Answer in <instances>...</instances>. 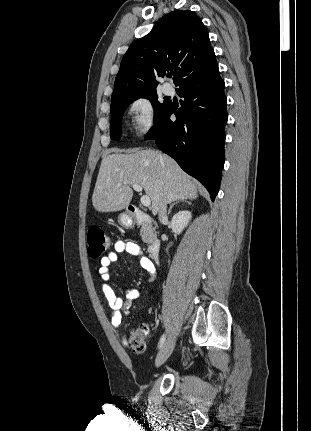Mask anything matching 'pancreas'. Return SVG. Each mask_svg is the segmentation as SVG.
Here are the masks:
<instances>
[{
  "label": "pancreas",
  "mask_w": 311,
  "mask_h": 431,
  "mask_svg": "<svg viewBox=\"0 0 311 431\" xmlns=\"http://www.w3.org/2000/svg\"><path fill=\"white\" fill-rule=\"evenodd\" d=\"M140 235L144 243H153L157 239L155 227H152V223H143L140 227Z\"/></svg>",
  "instance_id": "1"
}]
</instances>
